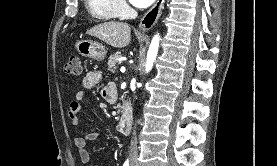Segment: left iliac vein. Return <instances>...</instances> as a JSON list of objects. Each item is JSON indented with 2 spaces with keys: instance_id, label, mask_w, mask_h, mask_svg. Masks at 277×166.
<instances>
[{
  "instance_id": "obj_1",
  "label": "left iliac vein",
  "mask_w": 277,
  "mask_h": 166,
  "mask_svg": "<svg viewBox=\"0 0 277 166\" xmlns=\"http://www.w3.org/2000/svg\"><path fill=\"white\" fill-rule=\"evenodd\" d=\"M131 166H136V165L134 163H132Z\"/></svg>"
}]
</instances>
